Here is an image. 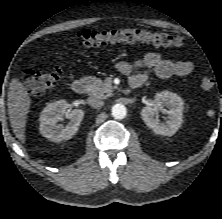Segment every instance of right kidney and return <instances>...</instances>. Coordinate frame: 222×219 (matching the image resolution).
<instances>
[{"mask_svg": "<svg viewBox=\"0 0 222 219\" xmlns=\"http://www.w3.org/2000/svg\"><path fill=\"white\" fill-rule=\"evenodd\" d=\"M65 100H58L49 103L41 112L40 115V133L54 142L69 140L74 136L79 128V125L84 117V112L81 109H67ZM70 119L66 125L57 124L63 118Z\"/></svg>", "mask_w": 222, "mask_h": 219, "instance_id": "obj_1", "label": "right kidney"}]
</instances>
